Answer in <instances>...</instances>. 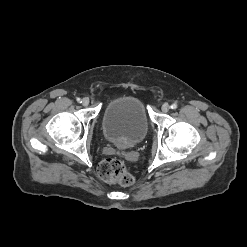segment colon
Listing matches in <instances>:
<instances>
[{
  "mask_svg": "<svg viewBox=\"0 0 247 247\" xmlns=\"http://www.w3.org/2000/svg\"><path fill=\"white\" fill-rule=\"evenodd\" d=\"M97 171L99 177L109 184L129 186L134 182V177L128 171L126 164L120 159H104L99 164Z\"/></svg>",
  "mask_w": 247,
  "mask_h": 247,
  "instance_id": "5ec220e1",
  "label": "colon"
}]
</instances>
